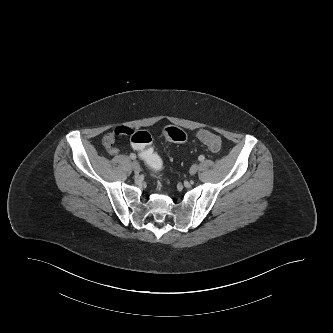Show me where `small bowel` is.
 <instances>
[{"mask_svg":"<svg viewBox=\"0 0 333 333\" xmlns=\"http://www.w3.org/2000/svg\"><path fill=\"white\" fill-rule=\"evenodd\" d=\"M117 137L133 140L136 137V132L128 127H118L113 132L107 133L102 139V145L109 155H118L120 150L115 145Z\"/></svg>","mask_w":333,"mask_h":333,"instance_id":"obj_1","label":"small bowel"}]
</instances>
